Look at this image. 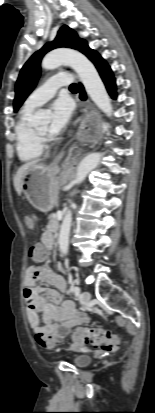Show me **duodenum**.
Here are the masks:
<instances>
[{
	"instance_id": "duodenum-1",
	"label": "duodenum",
	"mask_w": 155,
	"mask_h": 413,
	"mask_svg": "<svg viewBox=\"0 0 155 413\" xmlns=\"http://www.w3.org/2000/svg\"><path fill=\"white\" fill-rule=\"evenodd\" d=\"M52 236H53V240H54V243H55V238H56L55 232H52Z\"/></svg>"
}]
</instances>
